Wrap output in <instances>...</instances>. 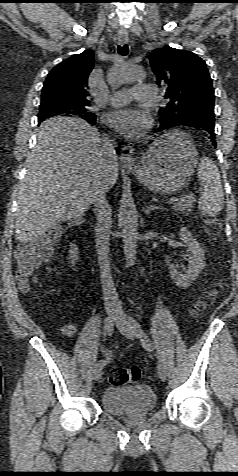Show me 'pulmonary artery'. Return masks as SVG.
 <instances>
[{
  "label": "pulmonary artery",
  "mask_w": 238,
  "mask_h": 476,
  "mask_svg": "<svg viewBox=\"0 0 238 476\" xmlns=\"http://www.w3.org/2000/svg\"><path fill=\"white\" fill-rule=\"evenodd\" d=\"M156 95V88L150 84L138 83L131 90H118L113 92L108 102L113 106H121L129 103L132 99L141 101L152 100Z\"/></svg>",
  "instance_id": "pulmonary-artery-1"
}]
</instances>
